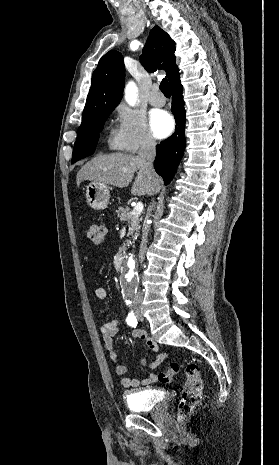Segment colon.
Returning a JSON list of instances; mask_svg holds the SVG:
<instances>
[{"mask_svg":"<svg viewBox=\"0 0 279 465\" xmlns=\"http://www.w3.org/2000/svg\"><path fill=\"white\" fill-rule=\"evenodd\" d=\"M88 239L94 245H101L105 237V227L100 224H92L86 229ZM180 371V364L172 362L167 371L161 372L158 379L162 383H169L172 377ZM186 382L178 404L177 418L182 421L202 399V379L199 365L191 362L185 368Z\"/></svg>","mask_w":279,"mask_h":465,"instance_id":"1","label":"colon"}]
</instances>
